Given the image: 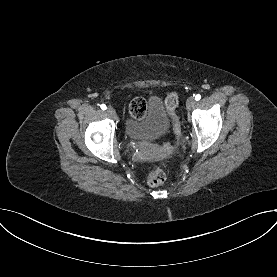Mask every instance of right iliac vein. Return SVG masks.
I'll return each mask as SVG.
<instances>
[{"mask_svg": "<svg viewBox=\"0 0 277 277\" xmlns=\"http://www.w3.org/2000/svg\"><path fill=\"white\" fill-rule=\"evenodd\" d=\"M107 113H108L110 116H112V117H116V111H115V109H114L113 107H111V106H109V107L107 108Z\"/></svg>", "mask_w": 277, "mask_h": 277, "instance_id": "obj_1", "label": "right iliac vein"}]
</instances>
